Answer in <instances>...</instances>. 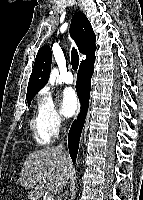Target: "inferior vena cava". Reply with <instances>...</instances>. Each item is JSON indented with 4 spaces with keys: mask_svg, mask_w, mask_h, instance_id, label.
<instances>
[{
    "mask_svg": "<svg viewBox=\"0 0 143 200\" xmlns=\"http://www.w3.org/2000/svg\"><path fill=\"white\" fill-rule=\"evenodd\" d=\"M63 147V144L61 143L59 146H58V148H62Z\"/></svg>",
    "mask_w": 143,
    "mask_h": 200,
    "instance_id": "inferior-vena-cava-1",
    "label": "inferior vena cava"
}]
</instances>
